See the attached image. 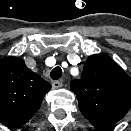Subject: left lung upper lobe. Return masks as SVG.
Instances as JSON below:
<instances>
[{
    "mask_svg": "<svg viewBox=\"0 0 131 131\" xmlns=\"http://www.w3.org/2000/svg\"><path fill=\"white\" fill-rule=\"evenodd\" d=\"M81 113L97 128H108L121 120L131 105V77L104 54L90 56L81 79L70 83Z\"/></svg>",
    "mask_w": 131,
    "mask_h": 131,
    "instance_id": "5c2ea615",
    "label": "left lung upper lobe"
}]
</instances>
